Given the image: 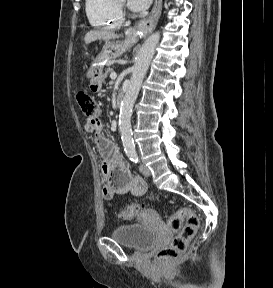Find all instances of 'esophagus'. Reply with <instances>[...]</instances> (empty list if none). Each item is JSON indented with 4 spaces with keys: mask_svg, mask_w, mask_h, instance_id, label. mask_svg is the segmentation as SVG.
<instances>
[{
    "mask_svg": "<svg viewBox=\"0 0 273 288\" xmlns=\"http://www.w3.org/2000/svg\"><path fill=\"white\" fill-rule=\"evenodd\" d=\"M162 10V0H155L151 13L147 18L137 23L135 26L130 27L126 30V34L130 37L137 38L141 37L142 34H147L151 32L160 17Z\"/></svg>",
    "mask_w": 273,
    "mask_h": 288,
    "instance_id": "1",
    "label": "esophagus"
}]
</instances>
